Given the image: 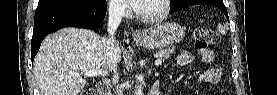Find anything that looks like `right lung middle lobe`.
Returning <instances> with one entry per match:
<instances>
[{
    "label": "right lung middle lobe",
    "instance_id": "dd1d6c3e",
    "mask_svg": "<svg viewBox=\"0 0 277 95\" xmlns=\"http://www.w3.org/2000/svg\"><path fill=\"white\" fill-rule=\"evenodd\" d=\"M103 2L105 0H39L37 9L56 6H91Z\"/></svg>",
    "mask_w": 277,
    "mask_h": 95
}]
</instances>
